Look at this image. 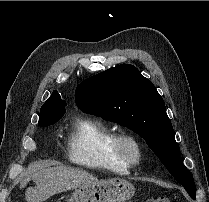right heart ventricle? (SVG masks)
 Here are the masks:
<instances>
[{"mask_svg": "<svg viewBox=\"0 0 209 202\" xmlns=\"http://www.w3.org/2000/svg\"><path fill=\"white\" fill-rule=\"evenodd\" d=\"M116 135L114 128L104 121L84 117L67 134V155L73 163L128 173L131 165L119 160L112 152Z\"/></svg>", "mask_w": 209, "mask_h": 202, "instance_id": "e07e8e85", "label": "right heart ventricle"}]
</instances>
